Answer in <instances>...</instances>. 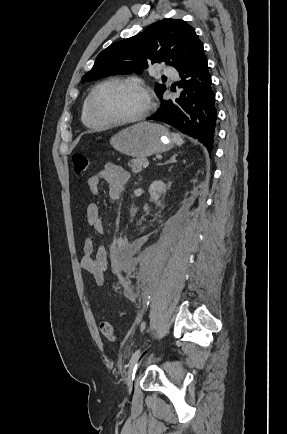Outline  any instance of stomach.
<instances>
[{
	"label": "stomach",
	"instance_id": "1",
	"mask_svg": "<svg viewBox=\"0 0 287 434\" xmlns=\"http://www.w3.org/2000/svg\"><path fill=\"white\" fill-rule=\"evenodd\" d=\"M110 144L127 156L145 158L169 151L174 147L175 140L164 126L140 122L115 134Z\"/></svg>",
	"mask_w": 287,
	"mask_h": 434
}]
</instances>
